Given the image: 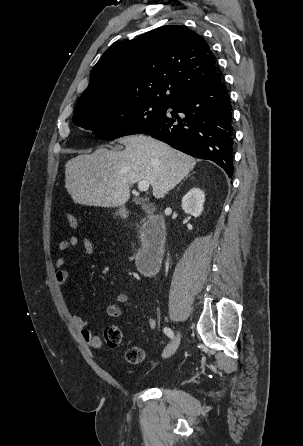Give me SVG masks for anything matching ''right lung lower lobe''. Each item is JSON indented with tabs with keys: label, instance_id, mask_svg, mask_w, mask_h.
<instances>
[{
	"label": "right lung lower lobe",
	"instance_id": "right-lung-lower-lobe-1",
	"mask_svg": "<svg viewBox=\"0 0 303 446\" xmlns=\"http://www.w3.org/2000/svg\"><path fill=\"white\" fill-rule=\"evenodd\" d=\"M144 132L191 156L209 159L233 174L234 129L231 99L225 82L194 89L176 100ZM177 112L182 113L181 116Z\"/></svg>",
	"mask_w": 303,
	"mask_h": 446
}]
</instances>
